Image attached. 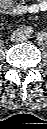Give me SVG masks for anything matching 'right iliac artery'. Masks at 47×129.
Here are the masks:
<instances>
[{
  "mask_svg": "<svg viewBox=\"0 0 47 129\" xmlns=\"http://www.w3.org/2000/svg\"><path fill=\"white\" fill-rule=\"evenodd\" d=\"M25 32L28 33V34H30V33L33 32V29L31 27H26L25 28Z\"/></svg>",
  "mask_w": 47,
  "mask_h": 129,
  "instance_id": "1",
  "label": "right iliac artery"
}]
</instances>
